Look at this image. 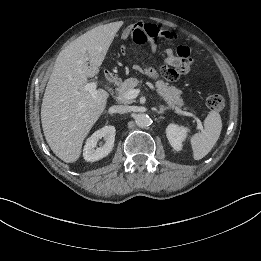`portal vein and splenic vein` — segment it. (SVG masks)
Instances as JSON below:
<instances>
[{"label": "portal vein and splenic vein", "mask_w": 261, "mask_h": 261, "mask_svg": "<svg viewBox=\"0 0 261 261\" xmlns=\"http://www.w3.org/2000/svg\"><path fill=\"white\" fill-rule=\"evenodd\" d=\"M98 86V82H90V83H87L85 86H84V89L85 91H88L93 97H96V88ZM140 90L139 89H130L128 92L124 93L123 94V97L125 99H134L138 96ZM176 112L181 114V115H184V116H190V117H193L196 122H197V125H198V128L200 130L203 129V126H202V123L200 121V119L198 117H196L194 114L190 113V112H186V111H183L179 108H176Z\"/></svg>", "instance_id": "portal-vein-and-splenic-vein-1"}]
</instances>
